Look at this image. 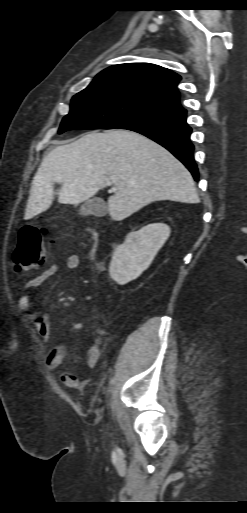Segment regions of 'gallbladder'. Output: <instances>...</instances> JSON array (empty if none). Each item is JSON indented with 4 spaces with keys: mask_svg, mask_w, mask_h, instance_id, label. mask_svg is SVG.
<instances>
[{
    "mask_svg": "<svg viewBox=\"0 0 247 513\" xmlns=\"http://www.w3.org/2000/svg\"><path fill=\"white\" fill-rule=\"evenodd\" d=\"M107 212L108 208L101 198H92L88 200L79 210V214L82 216L94 215L96 217H101L105 216Z\"/></svg>",
    "mask_w": 247,
    "mask_h": 513,
    "instance_id": "1",
    "label": "gallbladder"
}]
</instances>
